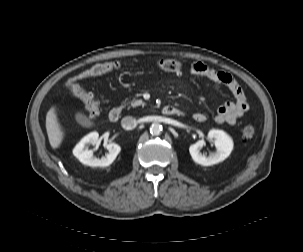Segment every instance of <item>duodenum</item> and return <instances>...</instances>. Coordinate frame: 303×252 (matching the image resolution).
<instances>
[{
  "label": "duodenum",
  "mask_w": 303,
  "mask_h": 252,
  "mask_svg": "<svg viewBox=\"0 0 303 252\" xmlns=\"http://www.w3.org/2000/svg\"><path fill=\"white\" fill-rule=\"evenodd\" d=\"M162 112L166 115H173V114L181 113V111L178 108H176L172 105L164 106L162 108ZM120 115H121V108L116 106L110 110L108 117H109L110 121L116 122L119 119Z\"/></svg>",
  "instance_id": "obj_1"
}]
</instances>
